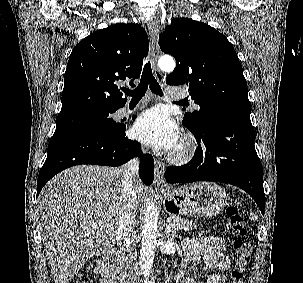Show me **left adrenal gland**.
I'll return each instance as SVG.
<instances>
[{"instance_id":"1","label":"left adrenal gland","mask_w":303,"mask_h":283,"mask_svg":"<svg viewBox=\"0 0 303 283\" xmlns=\"http://www.w3.org/2000/svg\"><path fill=\"white\" fill-rule=\"evenodd\" d=\"M165 233H166V236H167L171 241L174 240L175 231H173V230L171 229V227H170L168 224H166Z\"/></svg>"}]
</instances>
